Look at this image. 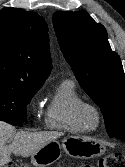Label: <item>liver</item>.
Returning a JSON list of instances; mask_svg holds the SVG:
<instances>
[{
  "instance_id": "obj_1",
  "label": "liver",
  "mask_w": 125,
  "mask_h": 167,
  "mask_svg": "<svg viewBox=\"0 0 125 167\" xmlns=\"http://www.w3.org/2000/svg\"><path fill=\"white\" fill-rule=\"evenodd\" d=\"M63 133L45 131V132H27L19 131L16 133L15 127L0 122V167L11 161V153L28 157L38 151L47 143L56 140ZM13 137L11 144L6 142Z\"/></svg>"
}]
</instances>
